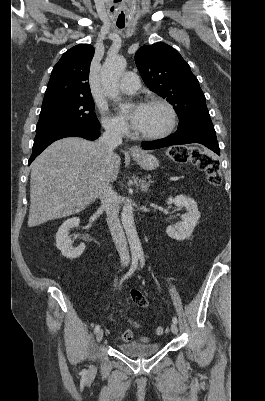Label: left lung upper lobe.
<instances>
[{"label":"left lung upper lobe","instance_id":"left-lung-upper-lobe-1","mask_svg":"<svg viewBox=\"0 0 265 401\" xmlns=\"http://www.w3.org/2000/svg\"><path fill=\"white\" fill-rule=\"evenodd\" d=\"M135 62L146 86L173 105L178 128L210 118L197 78L173 47L162 42L143 46L136 52Z\"/></svg>","mask_w":265,"mask_h":401}]
</instances>
